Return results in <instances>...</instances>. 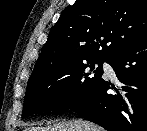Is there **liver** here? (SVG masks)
<instances>
[{"instance_id":"1","label":"liver","mask_w":147,"mask_h":131,"mask_svg":"<svg viewBox=\"0 0 147 131\" xmlns=\"http://www.w3.org/2000/svg\"><path fill=\"white\" fill-rule=\"evenodd\" d=\"M26 131H104L101 127L82 119L61 122L48 127H30Z\"/></svg>"}]
</instances>
